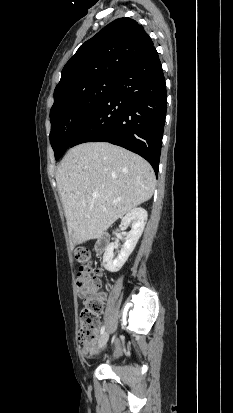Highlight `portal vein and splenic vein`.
I'll use <instances>...</instances> for the list:
<instances>
[{"mask_svg":"<svg viewBox=\"0 0 233 413\" xmlns=\"http://www.w3.org/2000/svg\"><path fill=\"white\" fill-rule=\"evenodd\" d=\"M98 197H99V194H98L97 192H94V193H93V198L96 199V198H98ZM115 202H116V201H115Z\"/></svg>","mask_w":233,"mask_h":413,"instance_id":"obj_1","label":"portal vein and splenic vein"}]
</instances>
